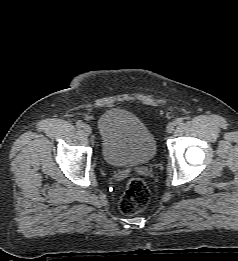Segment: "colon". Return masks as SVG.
I'll return each instance as SVG.
<instances>
[{"label":"colon","mask_w":238,"mask_h":261,"mask_svg":"<svg viewBox=\"0 0 238 261\" xmlns=\"http://www.w3.org/2000/svg\"><path fill=\"white\" fill-rule=\"evenodd\" d=\"M150 199V190L145 181L139 177H131L126 183L119 208L125 215H133L142 211Z\"/></svg>","instance_id":"obj_1"}]
</instances>
